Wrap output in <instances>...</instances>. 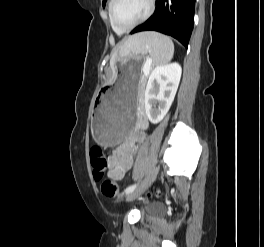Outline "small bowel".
Masks as SVG:
<instances>
[{
    "label": "small bowel",
    "instance_id": "c3829d8e",
    "mask_svg": "<svg viewBox=\"0 0 264 247\" xmlns=\"http://www.w3.org/2000/svg\"><path fill=\"white\" fill-rule=\"evenodd\" d=\"M147 127L148 120L145 116L141 115L137 120L134 129L129 132L125 140L109 156V179L112 181H119L123 179L127 171L132 168L134 154L137 146L145 139L144 130Z\"/></svg>",
    "mask_w": 264,
    "mask_h": 247
}]
</instances>
